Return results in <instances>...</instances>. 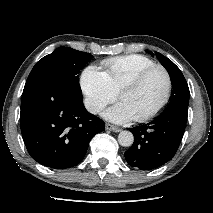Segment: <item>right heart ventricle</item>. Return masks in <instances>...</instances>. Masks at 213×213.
<instances>
[{"mask_svg":"<svg viewBox=\"0 0 213 213\" xmlns=\"http://www.w3.org/2000/svg\"><path fill=\"white\" fill-rule=\"evenodd\" d=\"M154 65L153 60L138 54L117 56L102 62L103 72L116 93L137 73Z\"/></svg>","mask_w":213,"mask_h":213,"instance_id":"e07e8e85","label":"right heart ventricle"}]
</instances>
